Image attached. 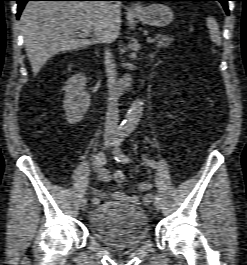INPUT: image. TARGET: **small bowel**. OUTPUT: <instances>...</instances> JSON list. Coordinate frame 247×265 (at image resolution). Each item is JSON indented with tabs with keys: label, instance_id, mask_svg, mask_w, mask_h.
<instances>
[{
	"label": "small bowel",
	"instance_id": "obj_1",
	"mask_svg": "<svg viewBox=\"0 0 247 265\" xmlns=\"http://www.w3.org/2000/svg\"><path fill=\"white\" fill-rule=\"evenodd\" d=\"M97 177L102 182H109L111 180L110 173L105 168H97L96 169ZM151 184L148 181L141 182L137 185V190L142 193V196L134 194H126L120 191H99L93 188H89L88 191L96 195L99 198L110 197L117 201H125L131 204H139L140 202L143 204H150L153 199V195L150 193Z\"/></svg>",
	"mask_w": 247,
	"mask_h": 265
}]
</instances>
